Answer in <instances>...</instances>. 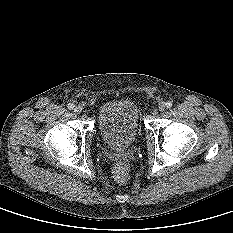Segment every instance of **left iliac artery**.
<instances>
[{
  "label": "left iliac artery",
  "instance_id": "obj_1",
  "mask_svg": "<svg viewBox=\"0 0 233 233\" xmlns=\"http://www.w3.org/2000/svg\"><path fill=\"white\" fill-rule=\"evenodd\" d=\"M172 105H173V103H172L171 101H167V102H166V107H167V108H171Z\"/></svg>",
  "mask_w": 233,
  "mask_h": 233
}]
</instances>
